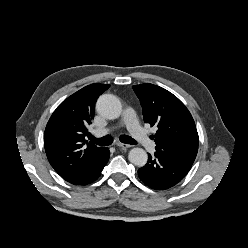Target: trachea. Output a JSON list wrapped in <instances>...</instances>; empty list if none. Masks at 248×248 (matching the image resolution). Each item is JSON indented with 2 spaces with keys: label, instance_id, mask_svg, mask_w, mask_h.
Instances as JSON below:
<instances>
[{
  "label": "trachea",
  "instance_id": "3493384b",
  "mask_svg": "<svg viewBox=\"0 0 248 248\" xmlns=\"http://www.w3.org/2000/svg\"><path fill=\"white\" fill-rule=\"evenodd\" d=\"M119 139L122 143H125V144H131V145L137 144V142L133 138L127 135H122L120 136ZM90 140H91L90 141L91 143H95L99 146H109L113 142V138L109 135L104 136L102 138H98V139L93 136H90Z\"/></svg>",
  "mask_w": 248,
  "mask_h": 248
}]
</instances>
